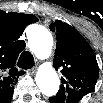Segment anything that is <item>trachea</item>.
<instances>
[{
  "label": "trachea",
  "mask_w": 103,
  "mask_h": 103,
  "mask_svg": "<svg viewBox=\"0 0 103 103\" xmlns=\"http://www.w3.org/2000/svg\"><path fill=\"white\" fill-rule=\"evenodd\" d=\"M34 65V58L29 51H24L18 61V66L22 69H30Z\"/></svg>",
  "instance_id": "3493384b"
}]
</instances>
